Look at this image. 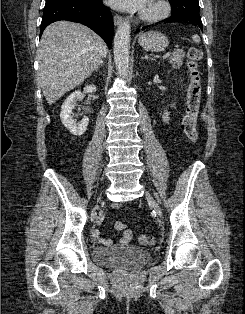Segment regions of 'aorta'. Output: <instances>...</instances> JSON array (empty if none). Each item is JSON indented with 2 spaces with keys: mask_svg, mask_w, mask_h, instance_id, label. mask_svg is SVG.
<instances>
[{
  "mask_svg": "<svg viewBox=\"0 0 245 314\" xmlns=\"http://www.w3.org/2000/svg\"><path fill=\"white\" fill-rule=\"evenodd\" d=\"M131 26L129 20H124L118 27L114 38V61L120 77L126 78L129 73V48Z\"/></svg>",
  "mask_w": 245,
  "mask_h": 314,
  "instance_id": "762f6f07",
  "label": "aorta"
}]
</instances>
